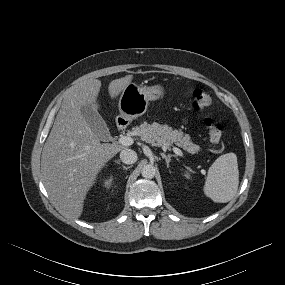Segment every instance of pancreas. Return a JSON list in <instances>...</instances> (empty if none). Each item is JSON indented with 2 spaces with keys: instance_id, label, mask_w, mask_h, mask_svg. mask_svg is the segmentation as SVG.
<instances>
[{
  "instance_id": "cf45deb5",
  "label": "pancreas",
  "mask_w": 285,
  "mask_h": 285,
  "mask_svg": "<svg viewBox=\"0 0 285 285\" xmlns=\"http://www.w3.org/2000/svg\"><path fill=\"white\" fill-rule=\"evenodd\" d=\"M134 132L140 136L141 140L151 144L152 146L165 147L169 149L174 143L192 154L200 149L198 145L192 143L188 134H184L181 130H173L171 127L161 125L157 122L152 124L144 122L139 127H136Z\"/></svg>"
}]
</instances>
